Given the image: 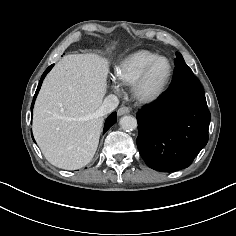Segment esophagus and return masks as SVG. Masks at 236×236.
<instances>
[{"label":"esophagus","instance_id":"obj_1","mask_svg":"<svg viewBox=\"0 0 236 236\" xmlns=\"http://www.w3.org/2000/svg\"><path fill=\"white\" fill-rule=\"evenodd\" d=\"M130 113V108L129 107H126V106H122L118 109L117 111V115L118 116H121V115H124V114H128Z\"/></svg>","mask_w":236,"mask_h":236}]
</instances>
